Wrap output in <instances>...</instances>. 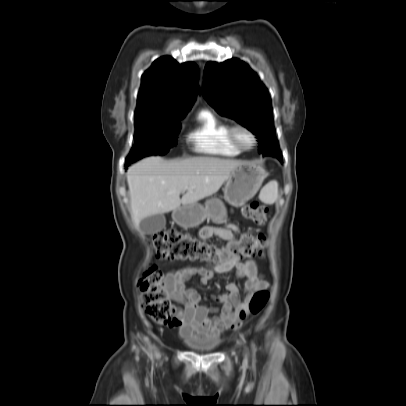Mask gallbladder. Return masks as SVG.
I'll list each match as a JSON object with an SVG mask.
<instances>
[{"label": "gallbladder", "instance_id": "obj_1", "mask_svg": "<svg viewBox=\"0 0 406 406\" xmlns=\"http://www.w3.org/2000/svg\"><path fill=\"white\" fill-rule=\"evenodd\" d=\"M166 225L164 214H156L148 216L141 220L140 230L146 234H154L160 232Z\"/></svg>", "mask_w": 406, "mask_h": 406}]
</instances>
